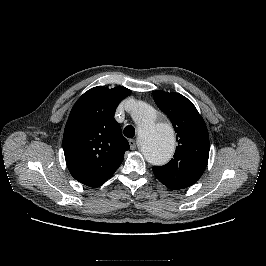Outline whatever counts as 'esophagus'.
Masks as SVG:
<instances>
[{
    "instance_id": "1",
    "label": "esophagus",
    "mask_w": 266,
    "mask_h": 266,
    "mask_svg": "<svg viewBox=\"0 0 266 266\" xmlns=\"http://www.w3.org/2000/svg\"><path fill=\"white\" fill-rule=\"evenodd\" d=\"M130 148L133 150L136 148V141L134 139L129 140Z\"/></svg>"
}]
</instances>
